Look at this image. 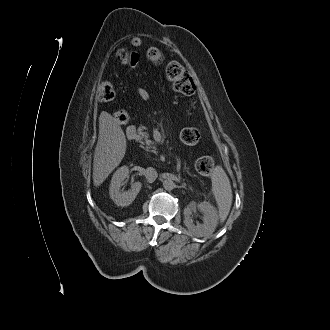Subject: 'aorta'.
Masks as SVG:
<instances>
[{"label":"aorta","mask_w":330,"mask_h":330,"mask_svg":"<svg viewBox=\"0 0 330 330\" xmlns=\"http://www.w3.org/2000/svg\"><path fill=\"white\" fill-rule=\"evenodd\" d=\"M163 187L165 190L171 191L175 188V183L171 179H168L163 182Z\"/></svg>","instance_id":"aorta-1"}]
</instances>
